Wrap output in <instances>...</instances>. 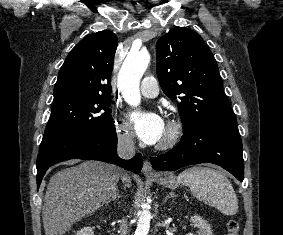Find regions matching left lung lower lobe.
I'll return each mask as SVG.
<instances>
[{
  "label": "left lung lower lobe",
  "mask_w": 283,
  "mask_h": 235,
  "mask_svg": "<svg viewBox=\"0 0 283 235\" xmlns=\"http://www.w3.org/2000/svg\"><path fill=\"white\" fill-rule=\"evenodd\" d=\"M242 142L236 121L199 127L183 134L180 142L164 155L152 157V167L173 171L187 165L214 163L239 181L244 178Z\"/></svg>",
  "instance_id": "1"
}]
</instances>
